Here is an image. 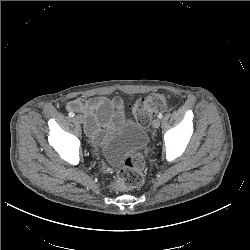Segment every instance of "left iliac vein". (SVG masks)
Masks as SVG:
<instances>
[{
    "label": "left iliac vein",
    "mask_w": 250,
    "mask_h": 250,
    "mask_svg": "<svg viewBox=\"0 0 250 250\" xmlns=\"http://www.w3.org/2000/svg\"><path fill=\"white\" fill-rule=\"evenodd\" d=\"M152 126L154 128H158L160 126V120L159 119H154L153 122H152Z\"/></svg>",
    "instance_id": "left-iliac-vein-1"
}]
</instances>
